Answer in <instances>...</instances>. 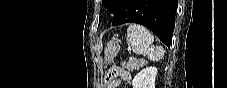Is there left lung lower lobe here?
<instances>
[{
  "mask_svg": "<svg viewBox=\"0 0 227 88\" xmlns=\"http://www.w3.org/2000/svg\"><path fill=\"white\" fill-rule=\"evenodd\" d=\"M176 9L177 0H119L112 25L141 24L170 47Z\"/></svg>",
  "mask_w": 227,
  "mask_h": 88,
  "instance_id": "obj_1",
  "label": "left lung lower lobe"
}]
</instances>
